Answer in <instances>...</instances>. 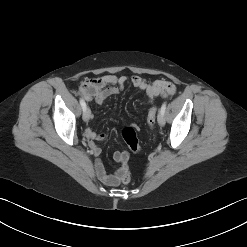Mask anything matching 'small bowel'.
Wrapping results in <instances>:
<instances>
[{
	"mask_svg": "<svg viewBox=\"0 0 247 247\" xmlns=\"http://www.w3.org/2000/svg\"><path fill=\"white\" fill-rule=\"evenodd\" d=\"M130 82L135 88L145 92L149 101H153L159 96L166 97L175 92L173 83L166 80H157L148 82L138 75L130 78L126 76H116L113 74H105L96 78L83 80L79 86V92L86 101H94L97 104L103 103L108 97L119 93L124 86ZM85 135L89 139L90 148L96 157L95 171L98 178L105 184L116 186L120 183V177L128 172L127 162L129 155L126 152H115L114 159L120 162L122 166L114 173H107L99 156L101 149L95 144L96 141H105L106 134L96 133L92 129H86Z\"/></svg>",
	"mask_w": 247,
	"mask_h": 247,
	"instance_id": "1",
	"label": "small bowel"
}]
</instances>
